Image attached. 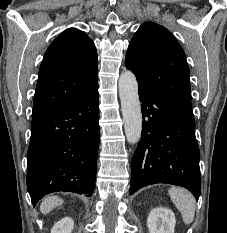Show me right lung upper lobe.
Masks as SVG:
<instances>
[{
	"mask_svg": "<svg viewBox=\"0 0 227 233\" xmlns=\"http://www.w3.org/2000/svg\"><path fill=\"white\" fill-rule=\"evenodd\" d=\"M98 85V59L81 30L63 31L48 47L39 69L32 119L41 117Z\"/></svg>",
	"mask_w": 227,
	"mask_h": 233,
	"instance_id": "1",
	"label": "right lung upper lobe"
}]
</instances>
